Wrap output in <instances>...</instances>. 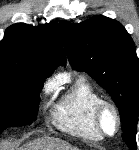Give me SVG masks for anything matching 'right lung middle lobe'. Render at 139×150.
Segmentation results:
<instances>
[{
  "mask_svg": "<svg viewBox=\"0 0 139 150\" xmlns=\"http://www.w3.org/2000/svg\"><path fill=\"white\" fill-rule=\"evenodd\" d=\"M43 80L32 73L0 69V133L36 120Z\"/></svg>",
  "mask_w": 139,
  "mask_h": 150,
  "instance_id": "1",
  "label": "right lung middle lobe"
}]
</instances>
